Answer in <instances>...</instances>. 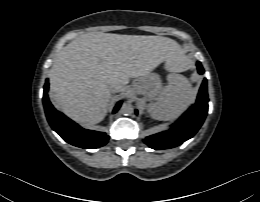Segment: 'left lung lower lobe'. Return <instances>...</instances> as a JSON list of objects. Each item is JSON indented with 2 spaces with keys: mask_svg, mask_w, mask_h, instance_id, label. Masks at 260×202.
Returning <instances> with one entry per match:
<instances>
[{
  "mask_svg": "<svg viewBox=\"0 0 260 202\" xmlns=\"http://www.w3.org/2000/svg\"><path fill=\"white\" fill-rule=\"evenodd\" d=\"M197 68L199 74L204 73V69L200 62H197ZM208 101L207 79H204L193 109L190 108L174 125H172V129L148 136L144 139V143L150 148L160 150L179 146L184 141L192 138L206 118Z\"/></svg>",
  "mask_w": 260,
  "mask_h": 202,
  "instance_id": "0a47b994",
  "label": "left lung lower lobe"
}]
</instances>
